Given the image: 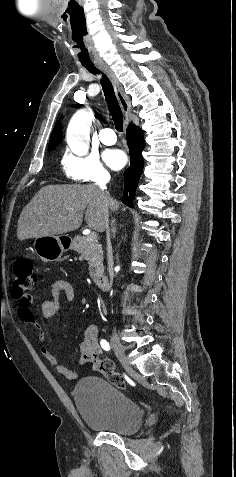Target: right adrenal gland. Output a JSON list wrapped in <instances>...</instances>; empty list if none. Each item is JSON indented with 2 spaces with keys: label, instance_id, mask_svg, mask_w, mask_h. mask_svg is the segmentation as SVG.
<instances>
[{
  "label": "right adrenal gland",
  "instance_id": "obj_1",
  "mask_svg": "<svg viewBox=\"0 0 236 477\" xmlns=\"http://www.w3.org/2000/svg\"><path fill=\"white\" fill-rule=\"evenodd\" d=\"M112 233H113V236H115L116 234L115 220H112Z\"/></svg>",
  "mask_w": 236,
  "mask_h": 477
}]
</instances>
